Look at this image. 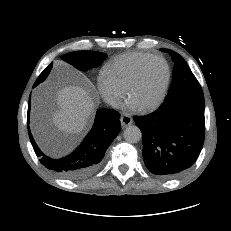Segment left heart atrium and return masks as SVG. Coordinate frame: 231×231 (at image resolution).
<instances>
[{"mask_svg": "<svg viewBox=\"0 0 231 231\" xmlns=\"http://www.w3.org/2000/svg\"><path fill=\"white\" fill-rule=\"evenodd\" d=\"M126 108L129 110H137L140 108V106H138V104H136L135 102L129 100L126 104Z\"/></svg>", "mask_w": 231, "mask_h": 231, "instance_id": "left-heart-atrium-1", "label": "left heart atrium"}]
</instances>
